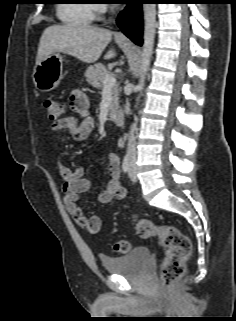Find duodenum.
Masks as SVG:
<instances>
[{"instance_id": "duodenum-1", "label": "duodenum", "mask_w": 236, "mask_h": 321, "mask_svg": "<svg viewBox=\"0 0 236 321\" xmlns=\"http://www.w3.org/2000/svg\"><path fill=\"white\" fill-rule=\"evenodd\" d=\"M111 120L118 126L123 125L124 123V115L121 112H116L112 114Z\"/></svg>"}]
</instances>
